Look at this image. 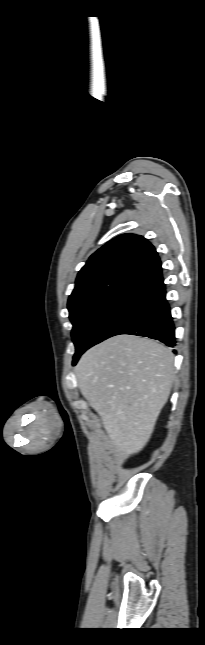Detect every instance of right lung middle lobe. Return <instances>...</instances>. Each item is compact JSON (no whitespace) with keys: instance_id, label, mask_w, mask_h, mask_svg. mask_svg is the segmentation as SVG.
<instances>
[{"instance_id":"obj_1","label":"right lung middle lobe","mask_w":205,"mask_h":645,"mask_svg":"<svg viewBox=\"0 0 205 645\" xmlns=\"http://www.w3.org/2000/svg\"><path fill=\"white\" fill-rule=\"evenodd\" d=\"M147 289L124 286L68 306L76 347L73 364L146 299Z\"/></svg>"}]
</instances>
